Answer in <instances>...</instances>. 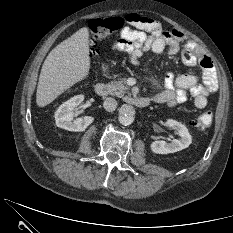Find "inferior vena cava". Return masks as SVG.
Listing matches in <instances>:
<instances>
[{"label":"inferior vena cava","mask_w":233,"mask_h":233,"mask_svg":"<svg viewBox=\"0 0 233 233\" xmlns=\"http://www.w3.org/2000/svg\"><path fill=\"white\" fill-rule=\"evenodd\" d=\"M103 106L109 112L114 111L117 108V101L114 98H106Z\"/></svg>","instance_id":"1"}]
</instances>
